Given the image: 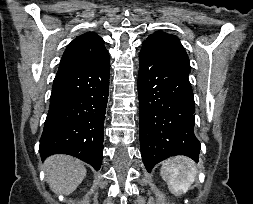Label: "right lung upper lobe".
Here are the masks:
<instances>
[{
    "label": "right lung upper lobe",
    "instance_id": "right-lung-upper-lobe-1",
    "mask_svg": "<svg viewBox=\"0 0 253 204\" xmlns=\"http://www.w3.org/2000/svg\"><path fill=\"white\" fill-rule=\"evenodd\" d=\"M107 51L104 41L95 33H85L76 37L66 48L57 74L71 70L82 63L90 61Z\"/></svg>",
    "mask_w": 253,
    "mask_h": 204
}]
</instances>
